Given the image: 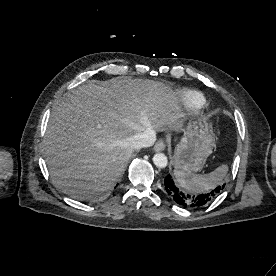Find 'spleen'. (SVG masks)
<instances>
[{
	"label": "spleen",
	"instance_id": "1",
	"mask_svg": "<svg viewBox=\"0 0 276 276\" xmlns=\"http://www.w3.org/2000/svg\"><path fill=\"white\" fill-rule=\"evenodd\" d=\"M227 172L228 166L222 164L214 171L204 175L184 172L178 169L174 170V175L179 185L185 190L193 193H201L212 190L222 184Z\"/></svg>",
	"mask_w": 276,
	"mask_h": 276
}]
</instances>
